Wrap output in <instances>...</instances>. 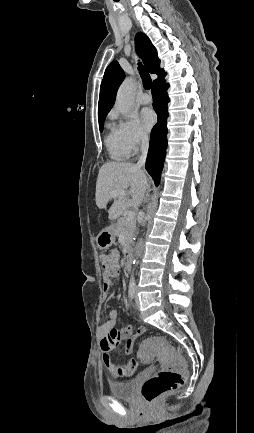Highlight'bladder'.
<instances>
[{"mask_svg": "<svg viewBox=\"0 0 254 433\" xmlns=\"http://www.w3.org/2000/svg\"><path fill=\"white\" fill-rule=\"evenodd\" d=\"M137 378L127 381L109 383L108 388L111 395L120 399H134L136 396Z\"/></svg>", "mask_w": 254, "mask_h": 433, "instance_id": "bladder-1", "label": "bladder"}]
</instances>
